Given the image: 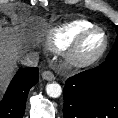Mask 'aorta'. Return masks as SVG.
<instances>
[{
  "mask_svg": "<svg viewBox=\"0 0 118 118\" xmlns=\"http://www.w3.org/2000/svg\"><path fill=\"white\" fill-rule=\"evenodd\" d=\"M46 93L52 98H58L62 93V88L58 83H49L46 85Z\"/></svg>",
  "mask_w": 118,
  "mask_h": 118,
  "instance_id": "1",
  "label": "aorta"
}]
</instances>
